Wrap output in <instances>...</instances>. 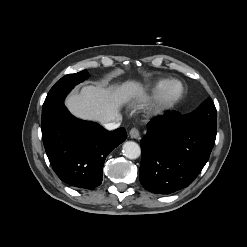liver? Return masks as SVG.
Segmentation results:
<instances>
[{
    "mask_svg": "<svg viewBox=\"0 0 247 247\" xmlns=\"http://www.w3.org/2000/svg\"><path fill=\"white\" fill-rule=\"evenodd\" d=\"M145 93L141 83L126 81L122 85L104 88L102 85H86L79 93L70 94L65 101L69 111L77 118L104 123L112 122L120 107Z\"/></svg>",
    "mask_w": 247,
    "mask_h": 247,
    "instance_id": "liver-1",
    "label": "liver"
}]
</instances>
